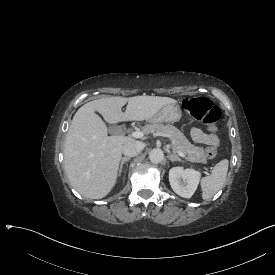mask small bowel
<instances>
[{
    "label": "small bowel",
    "mask_w": 275,
    "mask_h": 275,
    "mask_svg": "<svg viewBox=\"0 0 275 275\" xmlns=\"http://www.w3.org/2000/svg\"><path fill=\"white\" fill-rule=\"evenodd\" d=\"M191 136L195 142L200 144L210 145L214 142L210 134L205 133L203 130L197 127L192 128Z\"/></svg>",
    "instance_id": "1"
}]
</instances>
